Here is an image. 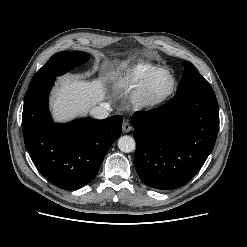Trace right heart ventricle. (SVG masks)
Returning <instances> with one entry per match:
<instances>
[{"label": "right heart ventricle", "instance_id": "1", "mask_svg": "<svg viewBox=\"0 0 247 247\" xmlns=\"http://www.w3.org/2000/svg\"><path fill=\"white\" fill-rule=\"evenodd\" d=\"M157 67L149 61L136 62L121 71L116 79V85L120 88H134L142 76L150 69Z\"/></svg>", "mask_w": 247, "mask_h": 247}]
</instances>
